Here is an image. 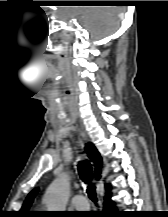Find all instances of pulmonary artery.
<instances>
[{
	"label": "pulmonary artery",
	"mask_w": 168,
	"mask_h": 217,
	"mask_svg": "<svg viewBox=\"0 0 168 217\" xmlns=\"http://www.w3.org/2000/svg\"><path fill=\"white\" fill-rule=\"evenodd\" d=\"M71 203L77 210H84L88 208L87 199L83 194H75L71 199Z\"/></svg>",
	"instance_id": "pulmonary-artery-1"
}]
</instances>
